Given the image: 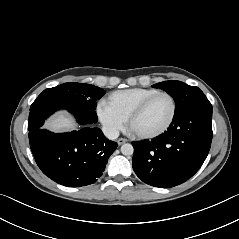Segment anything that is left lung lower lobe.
<instances>
[{"label": "left lung lower lobe", "mask_w": 239, "mask_h": 239, "mask_svg": "<svg viewBox=\"0 0 239 239\" xmlns=\"http://www.w3.org/2000/svg\"><path fill=\"white\" fill-rule=\"evenodd\" d=\"M212 105L174 116L168 130L149 141L132 142L136 175L145 183L170 188L191 178L201 167L212 141Z\"/></svg>", "instance_id": "0a47b994"}]
</instances>
